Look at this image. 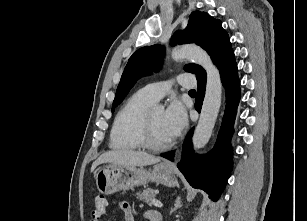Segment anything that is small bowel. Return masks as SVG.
Returning a JSON list of instances; mask_svg holds the SVG:
<instances>
[{
  "mask_svg": "<svg viewBox=\"0 0 307 221\" xmlns=\"http://www.w3.org/2000/svg\"><path fill=\"white\" fill-rule=\"evenodd\" d=\"M119 208L123 212L125 221H134V211L130 204L122 202L119 205ZM146 217L150 218L152 221H159L158 215L153 212H146ZM93 221H99V218L93 216Z\"/></svg>",
  "mask_w": 307,
  "mask_h": 221,
  "instance_id": "c3829d8e",
  "label": "small bowel"
}]
</instances>
